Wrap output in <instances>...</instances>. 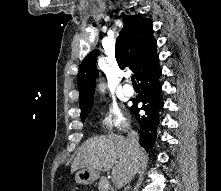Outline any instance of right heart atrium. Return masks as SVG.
Masks as SVG:
<instances>
[{"label":"right heart atrium","mask_w":221,"mask_h":191,"mask_svg":"<svg viewBox=\"0 0 221 191\" xmlns=\"http://www.w3.org/2000/svg\"><path fill=\"white\" fill-rule=\"evenodd\" d=\"M101 124L107 131H124L128 122L124 114L117 107H108L101 116Z\"/></svg>","instance_id":"1"}]
</instances>
